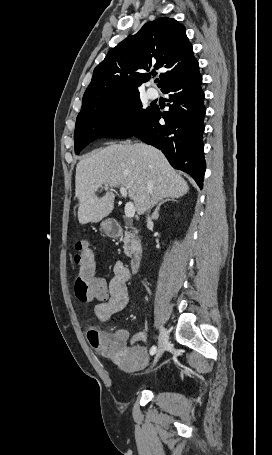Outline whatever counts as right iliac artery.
Returning a JSON list of instances; mask_svg holds the SVG:
<instances>
[{
    "mask_svg": "<svg viewBox=\"0 0 272 455\" xmlns=\"http://www.w3.org/2000/svg\"><path fill=\"white\" fill-rule=\"evenodd\" d=\"M156 349H157V347L155 345L152 346L151 349H150V354L154 355L156 353Z\"/></svg>",
    "mask_w": 272,
    "mask_h": 455,
    "instance_id": "right-iliac-artery-1",
    "label": "right iliac artery"
}]
</instances>
